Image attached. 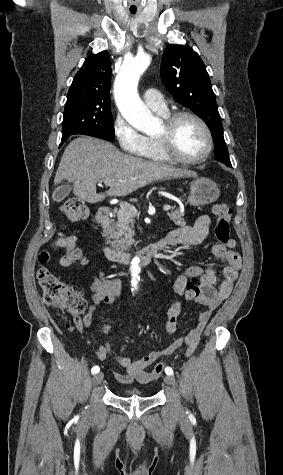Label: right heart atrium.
Masks as SVG:
<instances>
[{"label": "right heart atrium", "mask_w": 283, "mask_h": 475, "mask_svg": "<svg viewBox=\"0 0 283 475\" xmlns=\"http://www.w3.org/2000/svg\"><path fill=\"white\" fill-rule=\"evenodd\" d=\"M112 132L118 142L121 155H141V158L146 156L148 139L120 113L114 117Z\"/></svg>", "instance_id": "1"}]
</instances>
